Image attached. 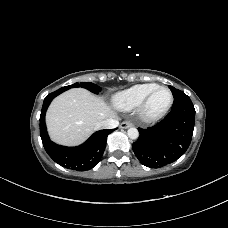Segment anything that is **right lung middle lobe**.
<instances>
[{
	"instance_id": "obj_1",
	"label": "right lung middle lobe",
	"mask_w": 228,
	"mask_h": 228,
	"mask_svg": "<svg viewBox=\"0 0 228 228\" xmlns=\"http://www.w3.org/2000/svg\"><path fill=\"white\" fill-rule=\"evenodd\" d=\"M75 87H82L85 88L89 91H91L94 94H98L101 91V87L97 86L94 83H90V82H82L81 84L75 83L73 85H69V86H65L59 89V91L64 92L70 88H75Z\"/></svg>"
}]
</instances>
